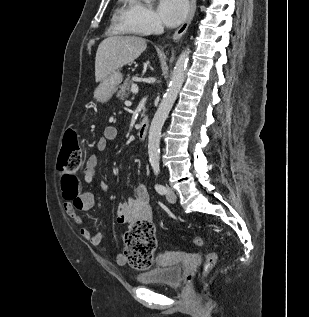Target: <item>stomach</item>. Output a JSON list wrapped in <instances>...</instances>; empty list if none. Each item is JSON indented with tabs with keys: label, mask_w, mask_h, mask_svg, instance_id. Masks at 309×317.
Listing matches in <instances>:
<instances>
[{
	"label": "stomach",
	"mask_w": 309,
	"mask_h": 317,
	"mask_svg": "<svg viewBox=\"0 0 309 317\" xmlns=\"http://www.w3.org/2000/svg\"><path fill=\"white\" fill-rule=\"evenodd\" d=\"M122 79L123 76L119 71L111 73L94 91V98L101 103H105L110 100L116 92Z\"/></svg>",
	"instance_id": "0dacf381"
}]
</instances>
